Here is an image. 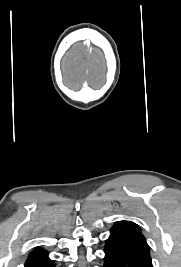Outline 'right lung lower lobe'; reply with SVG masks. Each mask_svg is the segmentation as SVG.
Here are the masks:
<instances>
[{"mask_svg":"<svg viewBox=\"0 0 181 267\" xmlns=\"http://www.w3.org/2000/svg\"><path fill=\"white\" fill-rule=\"evenodd\" d=\"M25 267H55L53 261L48 258V254L43 249H35L30 253Z\"/></svg>","mask_w":181,"mask_h":267,"instance_id":"obj_1","label":"right lung lower lobe"}]
</instances>
